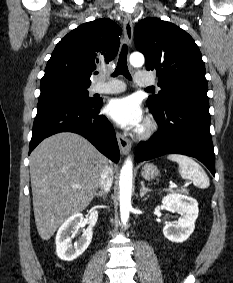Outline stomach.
<instances>
[{
    "label": "stomach",
    "instance_id": "stomach-1",
    "mask_svg": "<svg viewBox=\"0 0 233 283\" xmlns=\"http://www.w3.org/2000/svg\"><path fill=\"white\" fill-rule=\"evenodd\" d=\"M141 174L146 180H152L159 175V170L154 164L148 163L143 166Z\"/></svg>",
    "mask_w": 233,
    "mask_h": 283
}]
</instances>
